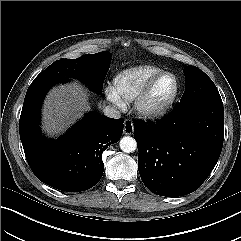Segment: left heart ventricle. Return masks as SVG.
Returning a JSON list of instances; mask_svg holds the SVG:
<instances>
[{
    "label": "left heart ventricle",
    "mask_w": 241,
    "mask_h": 241,
    "mask_svg": "<svg viewBox=\"0 0 241 241\" xmlns=\"http://www.w3.org/2000/svg\"><path fill=\"white\" fill-rule=\"evenodd\" d=\"M174 90V80L167 76L162 78L152 91L150 101L159 103L168 98Z\"/></svg>",
    "instance_id": "obj_1"
}]
</instances>
